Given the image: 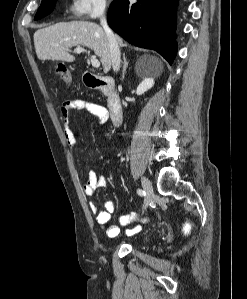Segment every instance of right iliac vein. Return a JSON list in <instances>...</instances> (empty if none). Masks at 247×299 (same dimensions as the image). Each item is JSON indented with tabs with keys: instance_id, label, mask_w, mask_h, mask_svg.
Returning a JSON list of instances; mask_svg holds the SVG:
<instances>
[{
	"instance_id": "1",
	"label": "right iliac vein",
	"mask_w": 247,
	"mask_h": 299,
	"mask_svg": "<svg viewBox=\"0 0 247 299\" xmlns=\"http://www.w3.org/2000/svg\"><path fill=\"white\" fill-rule=\"evenodd\" d=\"M142 186L146 193L145 204L143 207V211H144L148 208L149 204L153 201L154 192H153V187L151 182L146 177L142 178Z\"/></svg>"
}]
</instances>
